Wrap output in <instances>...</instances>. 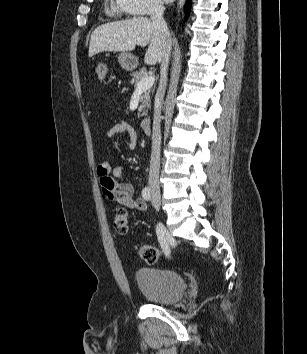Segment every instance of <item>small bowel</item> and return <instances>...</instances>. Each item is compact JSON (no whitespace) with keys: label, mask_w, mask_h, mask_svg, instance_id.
<instances>
[{"label":"small bowel","mask_w":307,"mask_h":354,"mask_svg":"<svg viewBox=\"0 0 307 354\" xmlns=\"http://www.w3.org/2000/svg\"><path fill=\"white\" fill-rule=\"evenodd\" d=\"M124 135L127 138V147L133 149L137 145L138 134L126 121L113 125L107 131V137L113 138ZM97 175L105 197L127 208L144 212L147 209L146 202L141 198H134V186L129 182H118L117 179L126 175L124 166L113 167L109 161L102 162L97 167Z\"/></svg>","instance_id":"obj_1"}]
</instances>
